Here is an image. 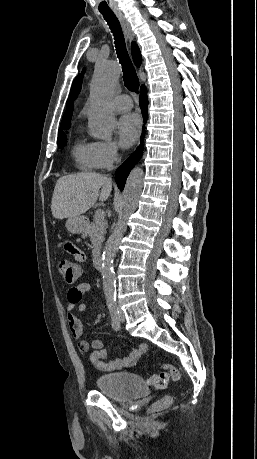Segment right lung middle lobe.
Segmentation results:
<instances>
[{
  "label": "right lung middle lobe",
  "instance_id": "right-lung-middle-lobe-1",
  "mask_svg": "<svg viewBox=\"0 0 257 459\" xmlns=\"http://www.w3.org/2000/svg\"><path fill=\"white\" fill-rule=\"evenodd\" d=\"M57 141H58L59 148H63L66 145L67 138H66V135H65L64 131H60L59 132Z\"/></svg>",
  "mask_w": 257,
  "mask_h": 459
}]
</instances>
